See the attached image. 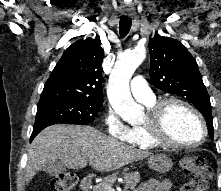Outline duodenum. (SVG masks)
I'll return each mask as SVG.
<instances>
[{
    "label": "duodenum",
    "mask_w": 221,
    "mask_h": 191,
    "mask_svg": "<svg viewBox=\"0 0 221 191\" xmlns=\"http://www.w3.org/2000/svg\"><path fill=\"white\" fill-rule=\"evenodd\" d=\"M93 183H94V176L93 175L85 176L80 183L81 191H88L90 189V187L93 185Z\"/></svg>",
    "instance_id": "1"
}]
</instances>
